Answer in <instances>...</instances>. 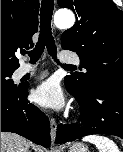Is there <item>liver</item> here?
Returning a JSON list of instances; mask_svg holds the SVG:
<instances>
[{
  "label": "liver",
  "instance_id": "liver-1",
  "mask_svg": "<svg viewBox=\"0 0 123 152\" xmlns=\"http://www.w3.org/2000/svg\"><path fill=\"white\" fill-rule=\"evenodd\" d=\"M30 142L15 133L1 132V152H29Z\"/></svg>",
  "mask_w": 123,
  "mask_h": 152
}]
</instances>
